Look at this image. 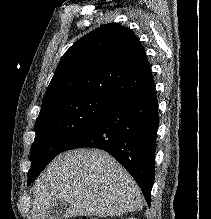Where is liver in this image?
<instances>
[{
	"mask_svg": "<svg viewBox=\"0 0 211 219\" xmlns=\"http://www.w3.org/2000/svg\"><path fill=\"white\" fill-rule=\"evenodd\" d=\"M63 200L65 218L120 216L143 208L131 175L105 151L77 149L59 154L33 187V219H45L50 205Z\"/></svg>",
	"mask_w": 211,
	"mask_h": 219,
	"instance_id": "1",
	"label": "liver"
}]
</instances>
